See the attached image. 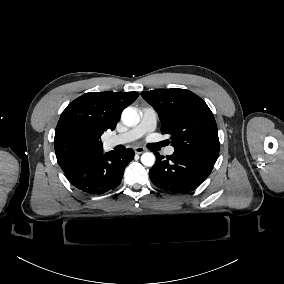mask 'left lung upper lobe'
Wrapping results in <instances>:
<instances>
[{
  "instance_id": "5c2ea615",
  "label": "left lung upper lobe",
  "mask_w": 284,
  "mask_h": 284,
  "mask_svg": "<svg viewBox=\"0 0 284 284\" xmlns=\"http://www.w3.org/2000/svg\"><path fill=\"white\" fill-rule=\"evenodd\" d=\"M161 120V132L170 134L175 153L201 158L214 164L219 138L213 113L196 94L185 89L141 92Z\"/></svg>"
}]
</instances>
